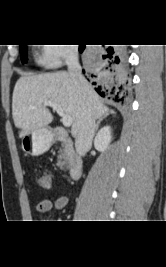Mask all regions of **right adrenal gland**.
Here are the masks:
<instances>
[{
  "instance_id": "right-adrenal-gland-1",
  "label": "right adrenal gland",
  "mask_w": 166,
  "mask_h": 267,
  "mask_svg": "<svg viewBox=\"0 0 166 267\" xmlns=\"http://www.w3.org/2000/svg\"><path fill=\"white\" fill-rule=\"evenodd\" d=\"M114 113H115V112L112 111V110L106 112L105 115L102 116V117L97 121V123H96V127H95V131H96V132L98 131L100 123H101L107 116H109L110 114L113 115Z\"/></svg>"
}]
</instances>
